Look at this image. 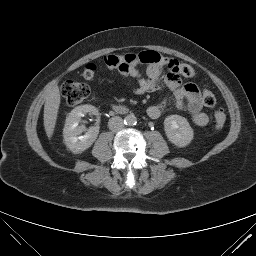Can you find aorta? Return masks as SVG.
Masks as SVG:
<instances>
[{"label": "aorta", "mask_w": 256, "mask_h": 256, "mask_svg": "<svg viewBox=\"0 0 256 256\" xmlns=\"http://www.w3.org/2000/svg\"><path fill=\"white\" fill-rule=\"evenodd\" d=\"M124 123L128 126L136 125L137 118L134 114H129L124 118Z\"/></svg>", "instance_id": "aorta-1"}]
</instances>
